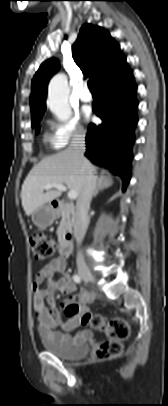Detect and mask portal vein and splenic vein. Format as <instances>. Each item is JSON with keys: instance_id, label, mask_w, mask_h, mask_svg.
Segmentation results:
<instances>
[{"instance_id": "1", "label": "portal vein and splenic vein", "mask_w": 168, "mask_h": 406, "mask_svg": "<svg viewBox=\"0 0 168 406\" xmlns=\"http://www.w3.org/2000/svg\"><path fill=\"white\" fill-rule=\"evenodd\" d=\"M51 188H57L58 190H61V191H66L67 190L66 186H64L63 184H58V183L47 184L44 189L49 190ZM77 196H78V194H77L76 191L68 192V198L69 199H76Z\"/></svg>"}]
</instances>
